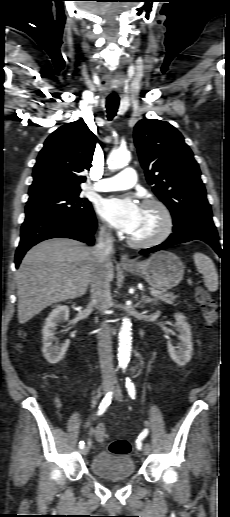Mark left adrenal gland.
<instances>
[{"label": "left adrenal gland", "mask_w": 230, "mask_h": 517, "mask_svg": "<svg viewBox=\"0 0 230 517\" xmlns=\"http://www.w3.org/2000/svg\"><path fill=\"white\" fill-rule=\"evenodd\" d=\"M141 302L144 304H152V303L154 304V303H156V299L150 298V297L142 294Z\"/></svg>", "instance_id": "a2214340"}]
</instances>
